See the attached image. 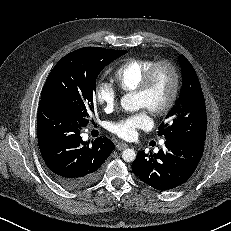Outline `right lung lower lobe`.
Segmentation results:
<instances>
[{
    "label": "right lung lower lobe",
    "mask_w": 231,
    "mask_h": 231,
    "mask_svg": "<svg viewBox=\"0 0 231 231\" xmlns=\"http://www.w3.org/2000/svg\"><path fill=\"white\" fill-rule=\"evenodd\" d=\"M83 127L63 106L40 101L37 114L38 144L51 176L67 189H82L101 175L103 163L115 148L106 137L89 146L80 136Z\"/></svg>",
    "instance_id": "98d812e1"
}]
</instances>
